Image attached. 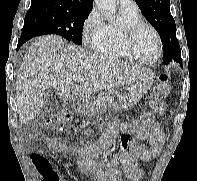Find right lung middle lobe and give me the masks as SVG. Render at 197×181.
Returning a JSON list of instances; mask_svg holds the SVG:
<instances>
[{"instance_id": "1", "label": "right lung middle lobe", "mask_w": 197, "mask_h": 181, "mask_svg": "<svg viewBox=\"0 0 197 181\" xmlns=\"http://www.w3.org/2000/svg\"><path fill=\"white\" fill-rule=\"evenodd\" d=\"M87 12H67L59 10H29L24 19L22 34L31 37L58 34L75 44H82V30Z\"/></svg>"}]
</instances>
